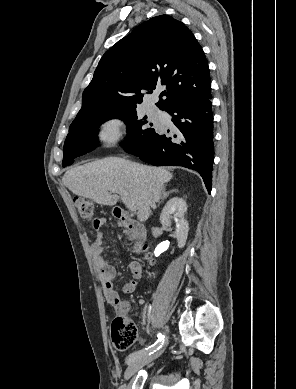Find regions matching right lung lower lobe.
<instances>
[{"mask_svg": "<svg viewBox=\"0 0 296 389\" xmlns=\"http://www.w3.org/2000/svg\"><path fill=\"white\" fill-rule=\"evenodd\" d=\"M167 112L178 134L171 137L156 131L143 149L129 153L154 166H183L195 170L210 193L214 161L211 92L183 101Z\"/></svg>", "mask_w": 296, "mask_h": 389, "instance_id": "obj_1", "label": "right lung lower lobe"}]
</instances>
